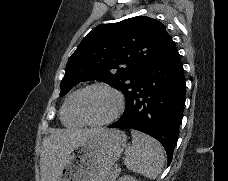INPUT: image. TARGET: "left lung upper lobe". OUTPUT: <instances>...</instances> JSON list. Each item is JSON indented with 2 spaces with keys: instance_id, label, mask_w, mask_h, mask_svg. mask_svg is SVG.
Returning <instances> with one entry per match:
<instances>
[{
  "instance_id": "obj_1",
  "label": "left lung upper lobe",
  "mask_w": 228,
  "mask_h": 181,
  "mask_svg": "<svg viewBox=\"0 0 228 181\" xmlns=\"http://www.w3.org/2000/svg\"><path fill=\"white\" fill-rule=\"evenodd\" d=\"M170 40L165 26L147 16L94 28L69 58L60 96L81 81L99 80L121 90L127 101L137 75Z\"/></svg>"
}]
</instances>
